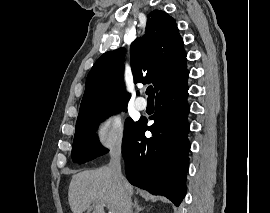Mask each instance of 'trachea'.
I'll return each mask as SVG.
<instances>
[{
  "label": "trachea",
  "mask_w": 270,
  "mask_h": 213,
  "mask_svg": "<svg viewBox=\"0 0 270 213\" xmlns=\"http://www.w3.org/2000/svg\"><path fill=\"white\" fill-rule=\"evenodd\" d=\"M146 94L148 95V99H154V89L152 86L147 88Z\"/></svg>",
  "instance_id": "3493384b"
}]
</instances>
